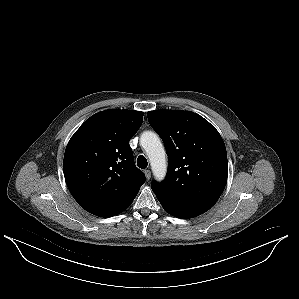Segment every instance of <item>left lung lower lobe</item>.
<instances>
[{
    "mask_svg": "<svg viewBox=\"0 0 299 299\" xmlns=\"http://www.w3.org/2000/svg\"><path fill=\"white\" fill-rule=\"evenodd\" d=\"M157 198L162 204L163 208L169 214L183 219L192 218L201 215L212 207L211 205L177 203V202L163 199L159 196H157Z\"/></svg>",
    "mask_w": 299,
    "mask_h": 299,
    "instance_id": "obj_1",
    "label": "left lung lower lobe"
}]
</instances>
